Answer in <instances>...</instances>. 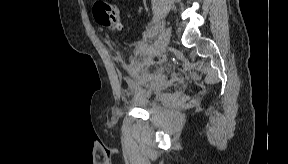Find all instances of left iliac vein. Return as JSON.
<instances>
[{"label":"left iliac vein","mask_w":288,"mask_h":164,"mask_svg":"<svg viewBox=\"0 0 288 164\" xmlns=\"http://www.w3.org/2000/svg\"><path fill=\"white\" fill-rule=\"evenodd\" d=\"M170 39V30L164 29L160 31L157 39V44L155 46V54L159 55L161 54L167 47Z\"/></svg>","instance_id":"obj_1"}]
</instances>
